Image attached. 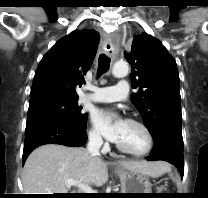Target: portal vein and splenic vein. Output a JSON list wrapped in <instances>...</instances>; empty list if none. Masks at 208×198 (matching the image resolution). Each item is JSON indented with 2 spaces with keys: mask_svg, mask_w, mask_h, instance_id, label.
<instances>
[{
  "mask_svg": "<svg viewBox=\"0 0 208 198\" xmlns=\"http://www.w3.org/2000/svg\"><path fill=\"white\" fill-rule=\"evenodd\" d=\"M66 185L68 187L70 186H77L80 190H82L84 193H97V191H94L91 187L84 185L78 181H75L73 179H67Z\"/></svg>",
  "mask_w": 208,
  "mask_h": 198,
  "instance_id": "1",
  "label": "portal vein and splenic vein"
}]
</instances>
